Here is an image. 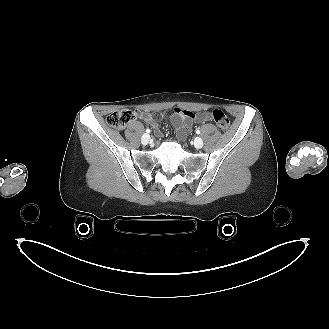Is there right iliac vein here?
<instances>
[{"mask_svg":"<svg viewBox=\"0 0 329 329\" xmlns=\"http://www.w3.org/2000/svg\"><path fill=\"white\" fill-rule=\"evenodd\" d=\"M150 141V135L149 134H144L141 138V142L143 145H147Z\"/></svg>","mask_w":329,"mask_h":329,"instance_id":"1","label":"right iliac vein"}]
</instances>
